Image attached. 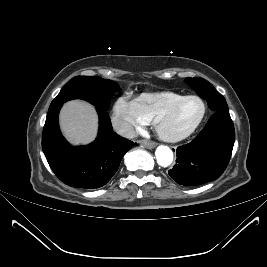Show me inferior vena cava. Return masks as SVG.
I'll return each instance as SVG.
<instances>
[{"label": "inferior vena cava", "instance_id": "1", "mask_svg": "<svg viewBox=\"0 0 267 267\" xmlns=\"http://www.w3.org/2000/svg\"><path fill=\"white\" fill-rule=\"evenodd\" d=\"M113 128L119 135L125 138L132 139L137 136L134 127L127 122L115 121L113 123Z\"/></svg>", "mask_w": 267, "mask_h": 267}]
</instances>
